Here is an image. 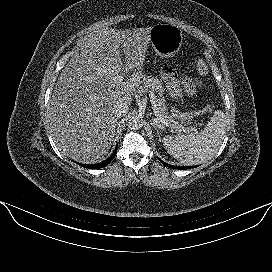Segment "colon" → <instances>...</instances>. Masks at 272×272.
<instances>
[{
	"label": "colon",
	"instance_id": "colon-1",
	"mask_svg": "<svg viewBox=\"0 0 272 272\" xmlns=\"http://www.w3.org/2000/svg\"><path fill=\"white\" fill-rule=\"evenodd\" d=\"M197 70L200 74L205 75L208 72L206 63L202 59H198L196 62ZM213 111L212 106H206L200 110L186 111L180 101L175 102L171 106V115L176 121L189 122L197 117H201Z\"/></svg>",
	"mask_w": 272,
	"mask_h": 272
}]
</instances>
